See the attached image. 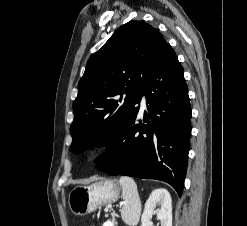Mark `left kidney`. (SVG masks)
Here are the masks:
<instances>
[{
    "label": "left kidney",
    "instance_id": "obj_1",
    "mask_svg": "<svg viewBox=\"0 0 247 226\" xmlns=\"http://www.w3.org/2000/svg\"><path fill=\"white\" fill-rule=\"evenodd\" d=\"M159 204L160 208L156 209ZM157 214L161 226H172V201L166 189H155L150 194L145 204V209L141 218V226H152V216Z\"/></svg>",
    "mask_w": 247,
    "mask_h": 226
}]
</instances>
